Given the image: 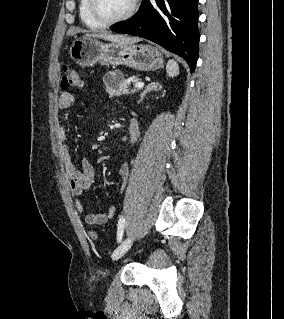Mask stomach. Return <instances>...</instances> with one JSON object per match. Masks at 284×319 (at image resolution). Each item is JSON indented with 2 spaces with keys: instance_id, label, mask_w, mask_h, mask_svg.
Segmentation results:
<instances>
[{
  "instance_id": "obj_1",
  "label": "stomach",
  "mask_w": 284,
  "mask_h": 319,
  "mask_svg": "<svg viewBox=\"0 0 284 319\" xmlns=\"http://www.w3.org/2000/svg\"><path fill=\"white\" fill-rule=\"evenodd\" d=\"M71 59L82 67L97 62L126 65L139 71H153L162 67L163 55L158 48L142 44L103 43L94 37L76 39L69 50Z\"/></svg>"
}]
</instances>
